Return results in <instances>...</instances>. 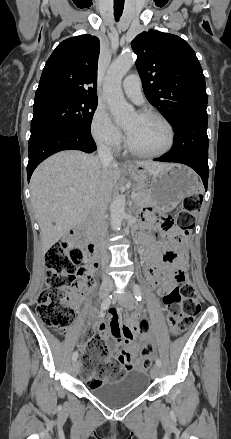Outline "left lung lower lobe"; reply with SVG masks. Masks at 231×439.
<instances>
[{
    "label": "left lung lower lobe",
    "instance_id": "obj_1",
    "mask_svg": "<svg viewBox=\"0 0 231 439\" xmlns=\"http://www.w3.org/2000/svg\"><path fill=\"white\" fill-rule=\"evenodd\" d=\"M207 118V113H193L181 118L174 128L172 149L154 159L182 163L191 167L202 178L205 189H207L209 174Z\"/></svg>",
    "mask_w": 231,
    "mask_h": 439
}]
</instances>
